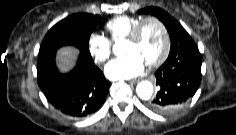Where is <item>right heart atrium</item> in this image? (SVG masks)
I'll return each mask as SVG.
<instances>
[{
  "label": "right heart atrium",
  "instance_id": "1",
  "mask_svg": "<svg viewBox=\"0 0 236 135\" xmlns=\"http://www.w3.org/2000/svg\"><path fill=\"white\" fill-rule=\"evenodd\" d=\"M87 46L90 55L96 64H103L110 56L112 44L110 40L100 33L93 32L89 35Z\"/></svg>",
  "mask_w": 236,
  "mask_h": 135
}]
</instances>
